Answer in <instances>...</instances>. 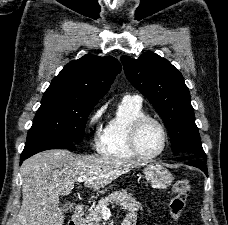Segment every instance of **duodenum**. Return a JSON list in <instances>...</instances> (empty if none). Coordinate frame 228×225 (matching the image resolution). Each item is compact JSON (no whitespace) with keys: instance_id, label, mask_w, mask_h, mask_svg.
<instances>
[{"instance_id":"obj_1","label":"duodenum","mask_w":228,"mask_h":225,"mask_svg":"<svg viewBox=\"0 0 228 225\" xmlns=\"http://www.w3.org/2000/svg\"><path fill=\"white\" fill-rule=\"evenodd\" d=\"M86 210V204L84 202H78L74 208V212L69 219L67 225H82V217ZM123 225H136L135 219L131 216L127 217Z\"/></svg>"}]
</instances>
